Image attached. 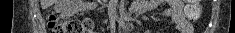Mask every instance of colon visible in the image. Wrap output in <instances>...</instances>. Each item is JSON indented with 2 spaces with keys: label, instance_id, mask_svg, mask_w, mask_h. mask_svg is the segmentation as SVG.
Masks as SVG:
<instances>
[{
  "label": "colon",
  "instance_id": "obj_1",
  "mask_svg": "<svg viewBox=\"0 0 235 33\" xmlns=\"http://www.w3.org/2000/svg\"><path fill=\"white\" fill-rule=\"evenodd\" d=\"M185 14L191 20H196L200 15V7L197 0H188ZM48 27L51 33H90L93 23L90 19H70L59 22L55 13L49 17Z\"/></svg>",
  "mask_w": 235,
  "mask_h": 33
}]
</instances>
